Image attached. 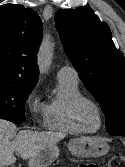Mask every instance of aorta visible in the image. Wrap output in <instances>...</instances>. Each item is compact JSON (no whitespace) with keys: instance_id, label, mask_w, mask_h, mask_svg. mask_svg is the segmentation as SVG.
Instances as JSON below:
<instances>
[{"instance_id":"762f6f07","label":"aorta","mask_w":125,"mask_h":167,"mask_svg":"<svg viewBox=\"0 0 125 167\" xmlns=\"http://www.w3.org/2000/svg\"><path fill=\"white\" fill-rule=\"evenodd\" d=\"M52 57V43L46 39L42 42L38 53V65L41 72H46Z\"/></svg>"}]
</instances>
